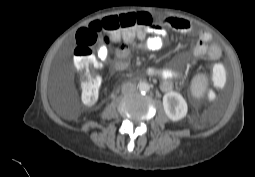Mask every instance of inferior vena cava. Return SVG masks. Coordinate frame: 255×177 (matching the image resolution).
I'll return each mask as SVG.
<instances>
[{"instance_id": "1", "label": "inferior vena cava", "mask_w": 255, "mask_h": 177, "mask_svg": "<svg viewBox=\"0 0 255 177\" xmlns=\"http://www.w3.org/2000/svg\"><path fill=\"white\" fill-rule=\"evenodd\" d=\"M135 90H136V85L131 82H127L122 85V92L124 94L133 93Z\"/></svg>"}]
</instances>
